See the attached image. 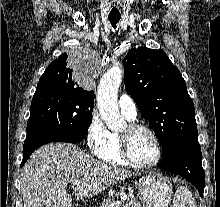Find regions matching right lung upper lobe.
Wrapping results in <instances>:
<instances>
[{
    "label": "right lung upper lobe",
    "mask_w": 220,
    "mask_h": 207,
    "mask_svg": "<svg viewBox=\"0 0 220 207\" xmlns=\"http://www.w3.org/2000/svg\"><path fill=\"white\" fill-rule=\"evenodd\" d=\"M67 58V54L63 53L50 63L39 79L36 90H67L94 96L93 91L85 90L78 85L73 70L68 67Z\"/></svg>",
    "instance_id": "right-lung-upper-lobe-1"
}]
</instances>
